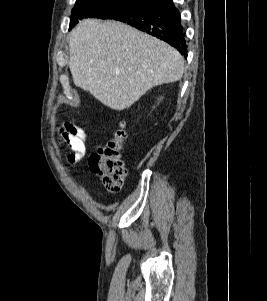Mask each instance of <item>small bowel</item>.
Segmentation results:
<instances>
[{"label": "small bowel", "mask_w": 267, "mask_h": 301, "mask_svg": "<svg viewBox=\"0 0 267 301\" xmlns=\"http://www.w3.org/2000/svg\"><path fill=\"white\" fill-rule=\"evenodd\" d=\"M60 134L71 150L68 156L69 163L78 162L85 154L86 132L74 123H67L65 128L60 130Z\"/></svg>", "instance_id": "1"}]
</instances>
